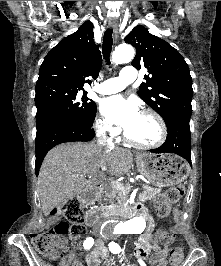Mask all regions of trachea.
<instances>
[{
    "label": "trachea",
    "instance_id": "3493384b",
    "mask_svg": "<svg viewBox=\"0 0 221 266\" xmlns=\"http://www.w3.org/2000/svg\"><path fill=\"white\" fill-rule=\"evenodd\" d=\"M112 33H113L112 29H107L103 37L102 53L104 59L106 60L107 65L111 64L109 59L113 45Z\"/></svg>",
    "mask_w": 221,
    "mask_h": 266
}]
</instances>
